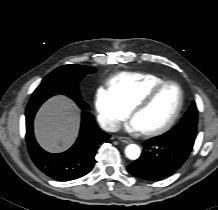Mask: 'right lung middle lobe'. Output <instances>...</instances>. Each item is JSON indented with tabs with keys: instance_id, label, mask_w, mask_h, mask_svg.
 <instances>
[{
	"instance_id": "dd1d6c3e",
	"label": "right lung middle lobe",
	"mask_w": 218,
	"mask_h": 210,
	"mask_svg": "<svg viewBox=\"0 0 218 210\" xmlns=\"http://www.w3.org/2000/svg\"><path fill=\"white\" fill-rule=\"evenodd\" d=\"M94 72L96 69L90 66H61L42 80L32 96L64 94L72 99H81L78 83L86 74Z\"/></svg>"
}]
</instances>
